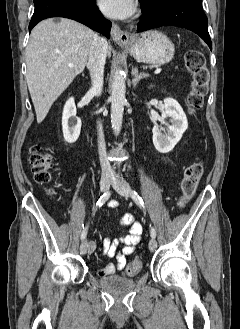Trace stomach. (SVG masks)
<instances>
[{
	"label": "stomach",
	"mask_w": 240,
	"mask_h": 329,
	"mask_svg": "<svg viewBox=\"0 0 240 329\" xmlns=\"http://www.w3.org/2000/svg\"><path fill=\"white\" fill-rule=\"evenodd\" d=\"M129 51L139 62L163 65L173 58L175 48L166 35L151 30L140 34Z\"/></svg>",
	"instance_id": "0dacf381"
}]
</instances>
